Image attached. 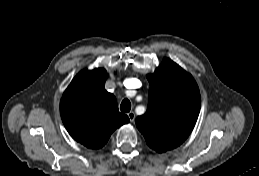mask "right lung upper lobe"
Returning <instances> with one entry per match:
<instances>
[{"label": "right lung upper lobe", "mask_w": 259, "mask_h": 176, "mask_svg": "<svg viewBox=\"0 0 259 176\" xmlns=\"http://www.w3.org/2000/svg\"><path fill=\"white\" fill-rule=\"evenodd\" d=\"M106 70L79 72L60 102L62 121L73 139L91 149L106 144L112 132L129 122L118 111L116 98L104 88Z\"/></svg>", "instance_id": "1"}]
</instances>
